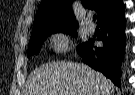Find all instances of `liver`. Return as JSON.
Listing matches in <instances>:
<instances>
[{
	"mask_svg": "<svg viewBox=\"0 0 135 95\" xmlns=\"http://www.w3.org/2000/svg\"><path fill=\"white\" fill-rule=\"evenodd\" d=\"M114 86L103 74L73 62H56L35 69L24 95H110Z\"/></svg>",
	"mask_w": 135,
	"mask_h": 95,
	"instance_id": "1",
	"label": "liver"
}]
</instances>
